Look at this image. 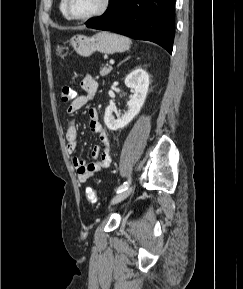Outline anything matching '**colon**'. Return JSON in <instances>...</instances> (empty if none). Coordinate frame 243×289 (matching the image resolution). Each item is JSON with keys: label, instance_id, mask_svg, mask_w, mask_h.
<instances>
[{"label": "colon", "instance_id": "1", "mask_svg": "<svg viewBox=\"0 0 243 289\" xmlns=\"http://www.w3.org/2000/svg\"><path fill=\"white\" fill-rule=\"evenodd\" d=\"M73 96H74V92H73L71 87L64 86L61 89V100L63 102H69L73 98ZM86 198H87L88 202H90L92 204L97 201L96 193L91 187H88L86 189Z\"/></svg>", "mask_w": 243, "mask_h": 289}]
</instances>
